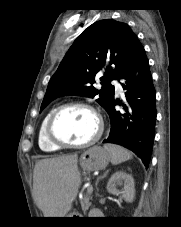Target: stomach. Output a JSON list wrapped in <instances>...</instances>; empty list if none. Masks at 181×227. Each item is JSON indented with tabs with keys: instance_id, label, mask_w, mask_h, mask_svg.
<instances>
[{
	"instance_id": "stomach-1",
	"label": "stomach",
	"mask_w": 181,
	"mask_h": 227,
	"mask_svg": "<svg viewBox=\"0 0 181 227\" xmlns=\"http://www.w3.org/2000/svg\"><path fill=\"white\" fill-rule=\"evenodd\" d=\"M110 160V154L105 148L93 146L81 154L79 164L83 170L92 172L105 169ZM66 217L76 216L74 213H71Z\"/></svg>"
}]
</instances>
